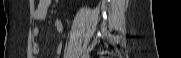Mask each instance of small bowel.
I'll use <instances>...</instances> for the list:
<instances>
[{
  "label": "small bowel",
  "instance_id": "c3829d8e",
  "mask_svg": "<svg viewBox=\"0 0 181 58\" xmlns=\"http://www.w3.org/2000/svg\"><path fill=\"white\" fill-rule=\"evenodd\" d=\"M51 4V0H39L38 4L34 10V19L38 22L45 20L47 13H48V9L50 7ZM55 28L58 32H62L63 31V24L60 20L55 22ZM33 35L35 37H37L39 35V28L37 26H35L33 28ZM61 51V47L58 46L57 52L60 53ZM32 52L34 54H37L40 52V46L38 43H33L32 45Z\"/></svg>",
  "mask_w": 181,
  "mask_h": 58
}]
</instances>
